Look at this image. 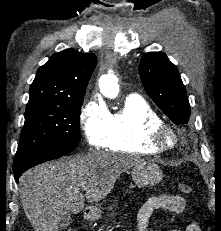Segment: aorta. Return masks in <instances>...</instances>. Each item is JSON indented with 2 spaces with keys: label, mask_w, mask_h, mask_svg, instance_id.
Here are the masks:
<instances>
[{
  "label": "aorta",
  "mask_w": 221,
  "mask_h": 231,
  "mask_svg": "<svg viewBox=\"0 0 221 231\" xmlns=\"http://www.w3.org/2000/svg\"><path fill=\"white\" fill-rule=\"evenodd\" d=\"M117 82V78L112 74L102 76L99 80L100 92L107 98H116L119 93Z\"/></svg>",
  "instance_id": "obj_1"
}]
</instances>
